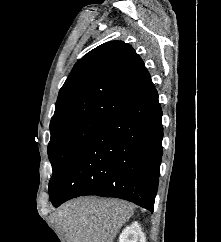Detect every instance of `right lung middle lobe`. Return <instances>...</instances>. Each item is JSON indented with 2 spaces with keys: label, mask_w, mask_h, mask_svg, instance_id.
<instances>
[{
  "label": "right lung middle lobe",
  "mask_w": 221,
  "mask_h": 242,
  "mask_svg": "<svg viewBox=\"0 0 221 242\" xmlns=\"http://www.w3.org/2000/svg\"><path fill=\"white\" fill-rule=\"evenodd\" d=\"M101 122L100 120H81L50 130L48 156L53 174L49 183V192L62 175L70 158Z\"/></svg>",
  "instance_id": "1"
}]
</instances>
